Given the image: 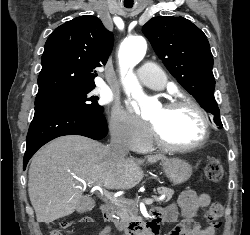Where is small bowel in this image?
<instances>
[{"label": "small bowel", "mask_w": 250, "mask_h": 235, "mask_svg": "<svg viewBox=\"0 0 250 235\" xmlns=\"http://www.w3.org/2000/svg\"><path fill=\"white\" fill-rule=\"evenodd\" d=\"M211 202V198L207 193H196L193 190L184 191L177 204L169 205L165 210H155L164 223H173L181 211L186 217H190L199 210L207 207ZM168 235H215V229L211 226L201 227V225L191 219L174 226Z\"/></svg>", "instance_id": "small-bowel-1"}]
</instances>
